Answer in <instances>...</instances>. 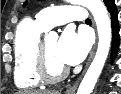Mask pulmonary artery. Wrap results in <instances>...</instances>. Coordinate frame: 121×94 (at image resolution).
I'll return each instance as SVG.
<instances>
[{"label":"pulmonary artery","instance_id":"pulmonary-artery-1","mask_svg":"<svg viewBox=\"0 0 121 94\" xmlns=\"http://www.w3.org/2000/svg\"><path fill=\"white\" fill-rule=\"evenodd\" d=\"M86 17V11L74 5L49 7L36 14L37 21L47 29L71 21H85Z\"/></svg>","mask_w":121,"mask_h":94}]
</instances>
